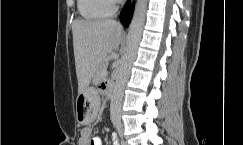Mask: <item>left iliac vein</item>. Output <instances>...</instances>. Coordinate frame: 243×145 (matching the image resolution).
Segmentation results:
<instances>
[{
  "label": "left iliac vein",
  "instance_id": "obj_1",
  "mask_svg": "<svg viewBox=\"0 0 243 145\" xmlns=\"http://www.w3.org/2000/svg\"><path fill=\"white\" fill-rule=\"evenodd\" d=\"M121 145H128V143H127L126 140L122 139V141H121Z\"/></svg>",
  "mask_w": 243,
  "mask_h": 145
}]
</instances>
